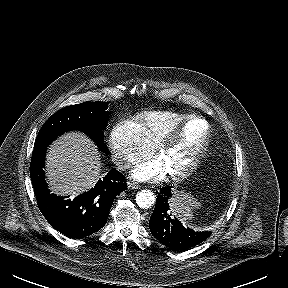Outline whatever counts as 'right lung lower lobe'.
Wrapping results in <instances>:
<instances>
[{
  "mask_svg": "<svg viewBox=\"0 0 288 288\" xmlns=\"http://www.w3.org/2000/svg\"><path fill=\"white\" fill-rule=\"evenodd\" d=\"M46 147L34 149L30 176L38 207L49 224L71 238H83L100 230L107 222L115 197L126 190L125 177L112 169L94 188L74 199L52 194L43 170Z\"/></svg>",
  "mask_w": 288,
  "mask_h": 288,
  "instance_id": "obj_1",
  "label": "right lung lower lobe"
}]
</instances>
